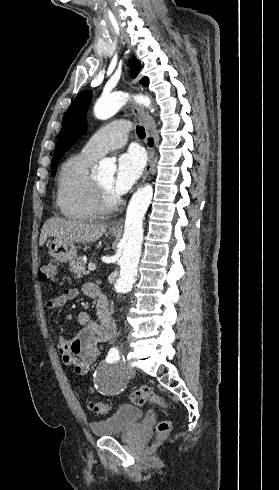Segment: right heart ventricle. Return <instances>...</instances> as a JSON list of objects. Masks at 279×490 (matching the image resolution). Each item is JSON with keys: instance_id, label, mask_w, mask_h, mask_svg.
Returning a JSON list of instances; mask_svg holds the SVG:
<instances>
[{"instance_id": "1", "label": "right heart ventricle", "mask_w": 279, "mask_h": 490, "mask_svg": "<svg viewBox=\"0 0 279 490\" xmlns=\"http://www.w3.org/2000/svg\"><path fill=\"white\" fill-rule=\"evenodd\" d=\"M93 162L80 153L67 159L61 167L57 202L62 215L68 220L86 222L99 215L96 185L88 176Z\"/></svg>"}]
</instances>
